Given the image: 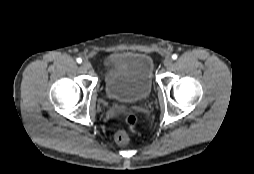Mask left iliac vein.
<instances>
[{"instance_id":"4c4485c4","label":"left iliac vein","mask_w":254,"mask_h":174,"mask_svg":"<svg viewBox=\"0 0 254 174\" xmlns=\"http://www.w3.org/2000/svg\"><path fill=\"white\" fill-rule=\"evenodd\" d=\"M173 64V60L171 57H167L165 60H164V66L166 68H170Z\"/></svg>"}]
</instances>
